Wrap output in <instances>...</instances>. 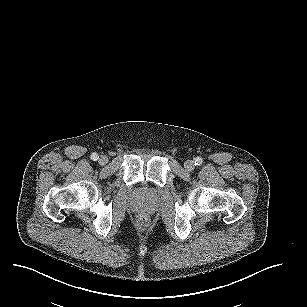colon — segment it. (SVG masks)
<instances>
[{
  "mask_svg": "<svg viewBox=\"0 0 307 307\" xmlns=\"http://www.w3.org/2000/svg\"><path fill=\"white\" fill-rule=\"evenodd\" d=\"M147 222H148V219H147V217H146L145 215H142V216H140V217L138 218V224H139V226H141V227L146 226Z\"/></svg>",
  "mask_w": 307,
  "mask_h": 307,
  "instance_id": "obj_1",
  "label": "colon"
}]
</instances>
